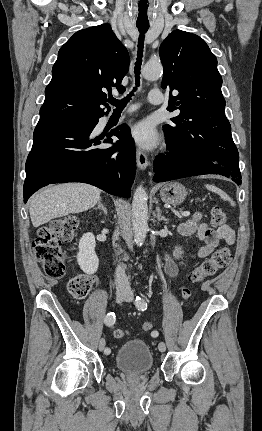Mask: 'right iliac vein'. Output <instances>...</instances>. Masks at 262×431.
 Listing matches in <instances>:
<instances>
[{
	"label": "right iliac vein",
	"mask_w": 262,
	"mask_h": 431,
	"mask_svg": "<svg viewBox=\"0 0 262 431\" xmlns=\"http://www.w3.org/2000/svg\"><path fill=\"white\" fill-rule=\"evenodd\" d=\"M127 297V294L123 291L116 292V301L118 303L122 302ZM106 346V341L104 338H101L98 343L99 351H104Z\"/></svg>",
	"instance_id": "right-iliac-vein-1"
}]
</instances>
